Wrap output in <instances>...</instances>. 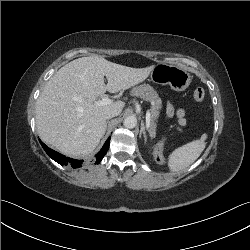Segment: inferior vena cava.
I'll return each mask as SVG.
<instances>
[{"label": "inferior vena cava", "instance_id": "602c4592", "mask_svg": "<svg viewBox=\"0 0 250 250\" xmlns=\"http://www.w3.org/2000/svg\"><path fill=\"white\" fill-rule=\"evenodd\" d=\"M120 113H121L120 109H111L106 113L105 117H106V119H110V118H113L115 116H118Z\"/></svg>", "mask_w": 250, "mask_h": 250}]
</instances>
